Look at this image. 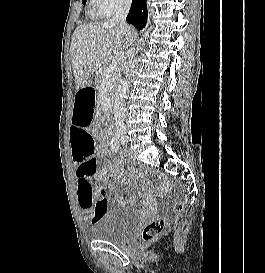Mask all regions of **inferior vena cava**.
Returning a JSON list of instances; mask_svg holds the SVG:
<instances>
[{
	"label": "inferior vena cava",
	"mask_w": 265,
	"mask_h": 273,
	"mask_svg": "<svg viewBox=\"0 0 265 273\" xmlns=\"http://www.w3.org/2000/svg\"><path fill=\"white\" fill-rule=\"evenodd\" d=\"M131 6V0H121L118 5L117 11L113 16L112 20L110 21L112 24L119 25L122 29H127L126 17L129 13V9ZM133 44V40L130 41L129 46L130 48L127 50V57H128V65L126 67V76L133 70V59L135 57V49L131 47Z\"/></svg>",
	"instance_id": "inferior-vena-cava-1"
}]
</instances>
